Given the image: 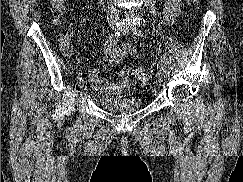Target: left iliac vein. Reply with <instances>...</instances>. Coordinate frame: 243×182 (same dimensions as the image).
<instances>
[{"mask_svg": "<svg viewBox=\"0 0 243 182\" xmlns=\"http://www.w3.org/2000/svg\"><path fill=\"white\" fill-rule=\"evenodd\" d=\"M119 29H121V30L123 31V34H124V35H126V34L129 33V29H128L127 27H121V28H119ZM161 80H162V78H161V73H157L155 83H156V84H159V83L161 82Z\"/></svg>", "mask_w": 243, "mask_h": 182, "instance_id": "obj_1", "label": "left iliac vein"}]
</instances>
